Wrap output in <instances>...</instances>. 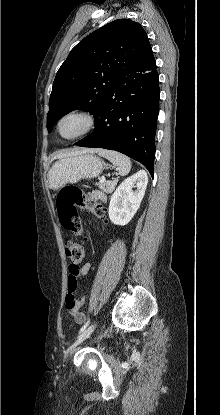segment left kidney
<instances>
[{"label": "left kidney", "instance_id": "1", "mask_svg": "<svg viewBox=\"0 0 220 415\" xmlns=\"http://www.w3.org/2000/svg\"><path fill=\"white\" fill-rule=\"evenodd\" d=\"M147 184V173L140 170L118 186L111 197L108 211L113 224L124 226L130 222L140 206ZM133 187H136L135 191Z\"/></svg>", "mask_w": 220, "mask_h": 415}]
</instances>
